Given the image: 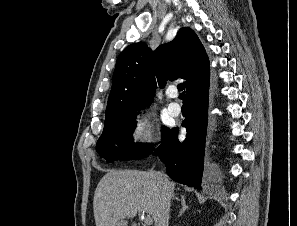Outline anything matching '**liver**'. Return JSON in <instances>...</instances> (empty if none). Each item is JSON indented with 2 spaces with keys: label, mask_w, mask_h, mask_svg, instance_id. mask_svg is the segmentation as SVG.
<instances>
[{
  "label": "liver",
  "mask_w": 297,
  "mask_h": 226,
  "mask_svg": "<svg viewBox=\"0 0 297 226\" xmlns=\"http://www.w3.org/2000/svg\"><path fill=\"white\" fill-rule=\"evenodd\" d=\"M175 184H164L158 173L110 170L97 185L93 199L96 226H116L126 217L146 212L155 226H168Z\"/></svg>",
  "instance_id": "6515ba94"
}]
</instances>
